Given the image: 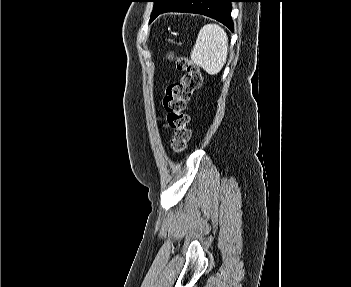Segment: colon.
Here are the masks:
<instances>
[{"mask_svg":"<svg viewBox=\"0 0 351 287\" xmlns=\"http://www.w3.org/2000/svg\"><path fill=\"white\" fill-rule=\"evenodd\" d=\"M176 67L183 73L181 79L168 86L163 99L167 122L173 130L170 149L173 153L186 150L190 138L187 103L202 84L200 68L187 57H174Z\"/></svg>","mask_w":351,"mask_h":287,"instance_id":"5ec220e1","label":"colon"}]
</instances>
